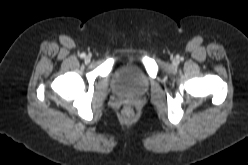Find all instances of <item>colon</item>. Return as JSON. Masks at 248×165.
Listing matches in <instances>:
<instances>
[{
  "mask_svg": "<svg viewBox=\"0 0 248 165\" xmlns=\"http://www.w3.org/2000/svg\"><path fill=\"white\" fill-rule=\"evenodd\" d=\"M124 114H125L128 118H131L132 115H133L131 108H126V109L124 110Z\"/></svg>",
  "mask_w": 248,
  "mask_h": 165,
  "instance_id": "1",
  "label": "colon"
}]
</instances>
